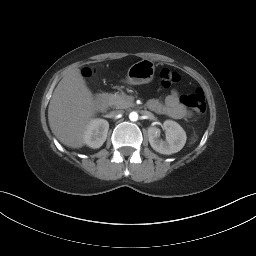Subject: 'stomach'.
Masks as SVG:
<instances>
[{"mask_svg": "<svg viewBox=\"0 0 256 256\" xmlns=\"http://www.w3.org/2000/svg\"><path fill=\"white\" fill-rule=\"evenodd\" d=\"M154 73V63L151 60L143 59L130 66L125 82L130 85L146 84L153 80Z\"/></svg>", "mask_w": 256, "mask_h": 256, "instance_id": "1", "label": "stomach"}]
</instances>
